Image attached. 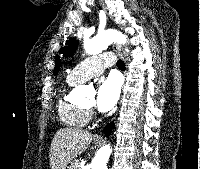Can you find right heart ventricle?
<instances>
[{
	"mask_svg": "<svg viewBox=\"0 0 200 169\" xmlns=\"http://www.w3.org/2000/svg\"><path fill=\"white\" fill-rule=\"evenodd\" d=\"M73 82L67 78L66 85H63L60 90V98L57 105V110L61 121L74 128L84 127L90 120V112L80 107L68 100L67 89L69 86L75 85Z\"/></svg>",
	"mask_w": 200,
	"mask_h": 169,
	"instance_id": "obj_1",
	"label": "right heart ventricle"
}]
</instances>
